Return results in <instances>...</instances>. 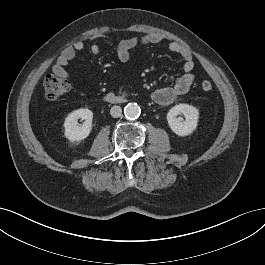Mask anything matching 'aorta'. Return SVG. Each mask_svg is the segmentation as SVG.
Returning a JSON list of instances; mask_svg holds the SVG:
<instances>
[{
  "mask_svg": "<svg viewBox=\"0 0 265 265\" xmlns=\"http://www.w3.org/2000/svg\"><path fill=\"white\" fill-rule=\"evenodd\" d=\"M140 113L141 109L137 103H128L124 108V114L128 119H136Z\"/></svg>",
  "mask_w": 265,
  "mask_h": 265,
  "instance_id": "obj_1",
  "label": "aorta"
}]
</instances>
